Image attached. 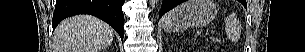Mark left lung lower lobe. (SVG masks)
Segmentation results:
<instances>
[{
  "label": "left lung lower lobe",
  "instance_id": "obj_1",
  "mask_svg": "<svg viewBox=\"0 0 305 52\" xmlns=\"http://www.w3.org/2000/svg\"><path fill=\"white\" fill-rule=\"evenodd\" d=\"M182 2H184V0H163L159 18H161L167 11L171 10L173 7L177 6Z\"/></svg>",
  "mask_w": 305,
  "mask_h": 52
}]
</instances>
